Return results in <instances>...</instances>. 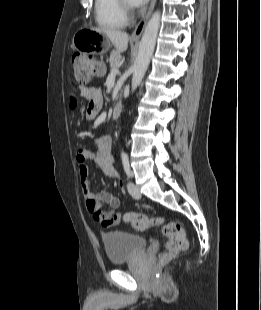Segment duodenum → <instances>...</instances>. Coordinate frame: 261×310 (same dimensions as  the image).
I'll return each mask as SVG.
<instances>
[{
  "label": "duodenum",
  "instance_id": "duodenum-1",
  "mask_svg": "<svg viewBox=\"0 0 261 310\" xmlns=\"http://www.w3.org/2000/svg\"><path fill=\"white\" fill-rule=\"evenodd\" d=\"M122 106L120 103H116L112 109L113 118H118L121 114Z\"/></svg>",
  "mask_w": 261,
  "mask_h": 310
}]
</instances>
